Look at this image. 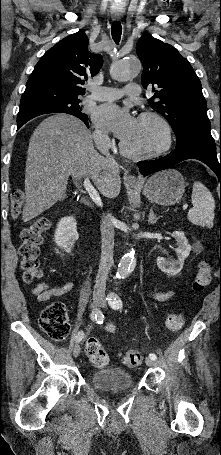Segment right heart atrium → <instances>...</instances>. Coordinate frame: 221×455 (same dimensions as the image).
I'll return each mask as SVG.
<instances>
[{"label":"right heart atrium","mask_w":221,"mask_h":455,"mask_svg":"<svg viewBox=\"0 0 221 455\" xmlns=\"http://www.w3.org/2000/svg\"><path fill=\"white\" fill-rule=\"evenodd\" d=\"M95 144L100 151H106L110 147V138L106 131L96 129L93 134Z\"/></svg>","instance_id":"1"}]
</instances>
